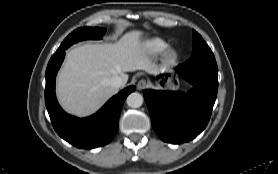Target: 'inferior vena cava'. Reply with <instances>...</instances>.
<instances>
[{
  "label": "inferior vena cava",
  "instance_id": "602c4592",
  "mask_svg": "<svg viewBox=\"0 0 278 174\" xmlns=\"http://www.w3.org/2000/svg\"><path fill=\"white\" fill-rule=\"evenodd\" d=\"M109 85L113 88H120L123 85V80L119 76H114L109 80Z\"/></svg>",
  "mask_w": 278,
  "mask_h": 174
}]
</instances>
